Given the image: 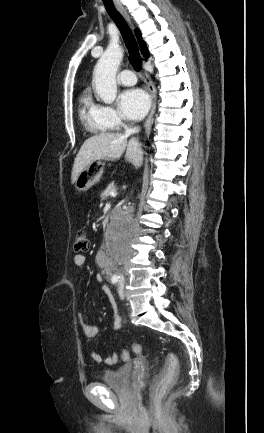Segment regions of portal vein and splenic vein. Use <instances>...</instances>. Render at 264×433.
Wrapping results in <instances>:
<instances>
[{
  "mask_svg": "<svg viewBox=\"0 0 264 433\" xmlns=\"http://www.w3.org/2000/svg\"><path fill=\"white\" fill-rule=\"evenodd\" d=\"M110 195H111L112 197H116V196H117V193H116V192H111Z\"/></svg>",
  "mask_w": 264,
  "mask_h": 433,
  "instance_id": "18ae733b",
  "label": "portal vein and splenic vein"
}]
</instances>
